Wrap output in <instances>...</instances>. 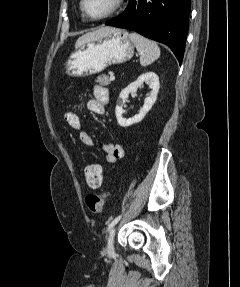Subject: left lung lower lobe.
I'll return each mask as SVG.
<instances>
[{
    "instance_id": "0a47b994",
    "label": "left lung lower lobe",
    "mask_w": 240,
    "mask_h": 287,
    "mask_svg": "<svg viewBox=\"0 0 240 287\" xmlns=\"http://www.w3.org/2000/svg\"><path fill=\"white\" fill-rule=\"evenodd\" d=\"M190 9V0H130L126 10L106 25L133 30L168 45L181 64Z\"/></svg>"
}]
</instances>
